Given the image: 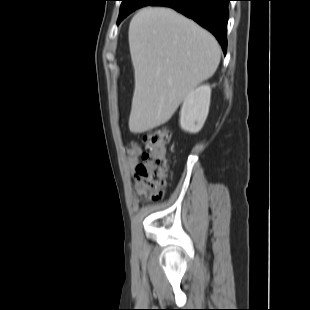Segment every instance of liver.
Here are the masks:
<instances>
[{"instance_id": "1", "label": "liver", "mask_w": 310, "mask_h": 310, "mask_svg": "<svg viewBox=\"0 0 310 310\" xmlns=\"http://www.w3.org/2000/svg\"><path fill=\"white\" fill-rule=\"evenodd\" d=\"M128 37L135 77L129 129L144 133L170 120L188 93L213 76L221 49L208 31L164 7L141 9Z\"/></svg>"}]
</instances>
